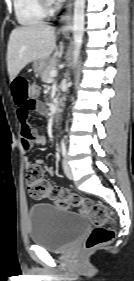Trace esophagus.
Returning <instances> with one entry per match:
<instances>
[{"mask_svg":"<svg viewBox=\"0 0 134 281\" xmlns=\"http://www.w3.org/2000/svg\"><path fill=\"white\" fill-rule=\"evenodd\" d=\"M72 10L73 0H69L64 13L60 17L61 26L59 31L62 33H67L72 29Z\"/></svg>","mask_w":134,"mask_h":281,"instance_id":"obj_1","label":"esophagus"}]
</instances>
